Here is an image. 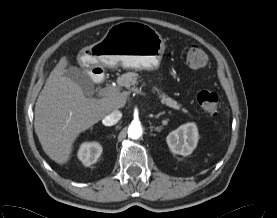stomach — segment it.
<instances>
[{
	"mask_svg": "<svg viewBox=\"0 0 277 218\" xmlns=\"http://www.w3.org/2000/svg\"><path fill=\"white\" fill-rule=\"evenodd\" d=\"M165 51L162 36L150 25L138 21H122L112 25L104 37L77 56L86 68L116 67L156 70Z\"/></svg>",
	"mask_w": 277,
	"mask_h": 218,
	"instance_id": "0dacf381",
	"label": "stomach"
}]
</instances>
